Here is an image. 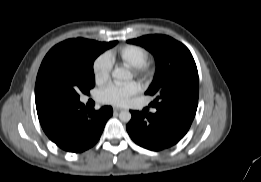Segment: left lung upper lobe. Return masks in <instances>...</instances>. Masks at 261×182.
Masks as SVG:
<instances>
[{"mask_svg":"<svg viewBox=\"0 0 261 182\" xmlns=\"http://www.w3.org/2000/svg\"><path fill=\"white\" fill-rule=\"evenodd\" d=\"M128 43L143 46L156 59L154 79L146 91V94L155 96L151 106L197 110L198 71L185 45L166 35H146L128 40Z\"/></svg>","mask_w":261,"mask_h":182,"instance_id":"5c2ea615","label":"left lung upper lobe"}]
</instances>
